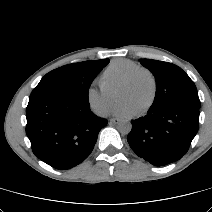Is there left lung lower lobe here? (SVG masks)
Returning a JSON list of instances; mask_svg holds the SVG:
<instances>
[{"label":"left lung lower lobe","mask_w":212,"mask_h":212,"mask_svg":"<svg viewBox=\"0 0 212 212\" xmlns=\"http://www.w3.org/2000/svg\"><path fill=\"white\" fill-rule=\"evenodd\" d=\"M131 123L127 140L135 154L164 166L187 153L199 128V108L184 103L152 105L147 115Z\"/></svg>","instance_id":"1"}]
</instances>
